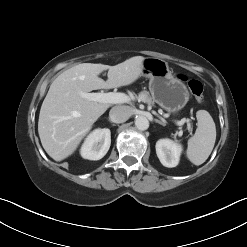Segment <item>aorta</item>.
<instances>
[{
  "label": "aorta",
  "instance_id": "1",
  "mask_svg": "<svg viewBox=\"0 0 247 247\" xmlns=\"http://www.w3.org/2000/svg\"><path fill=\"white\" fill-rule=\"evenodd\" d=\"M135 125L139 130H147L149 128V121L145 116H139L135 119Z\"/></svg>",
  "mask_w": 247,
  "mask_h": 247
}]
</instances>
